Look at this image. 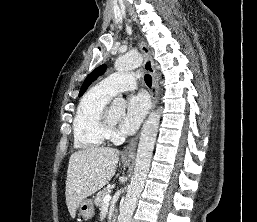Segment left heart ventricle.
<instances>
[{"label":"left heart ventricle","mask_w":257,"mask_h":222,"mask_svg":"<svg viewBox=\"0 0 257 222\" xmlns=\"http://www.w3.org/2000/svg\"><path fill=\"white\" fill-rule=\"evenodd\" d=\"M109 114H110V119L114 124H117L123 116L122 111L117 109H110Z\"/></svg>","instance_id":"1"}]
</instances>
